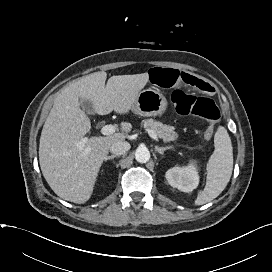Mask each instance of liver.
I'll use <instances>...</instances> for the list:
<instances>
[{
    "label": "liver",
    "instance_id": "liver-1",
    "mask_svg": "<svg viewBox=\"0 0 272 272\" xmlns=\"http://www.w3.org/2000/svg\"><path fill=\"white\" fill-rule=\"evenodd\" d=\"M106 78V72H95L64 88L56 97L41 132L39 163L43 176L56 195L76 204L90 199L110 146L125 139L123 134L115 133L88 138L80 145L91 129L80 100L90 101L99 115L112 111L127 114L147 84L149 74L112 76L105 86ZM121 128L128 133L132 125L123 122Z\"/></svg>",
    "mask_w": 272,
    "mask_h": 272
}]
</instances>
